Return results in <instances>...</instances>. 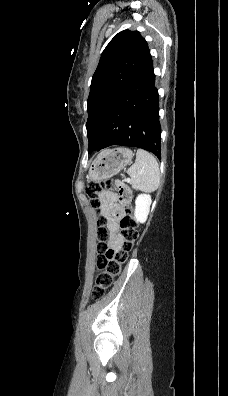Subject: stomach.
I'll return each mask as SVG.
<instances>
[{
	"label": "stomach",
	"mask_w": 228,
	"mask_h": 396,
	"mask_svg": "<svg viewBox=\"0 0 228 396\" xmlns=\"http://www.w3.org/2000/svg\"><path fill=\"white\" fill-rule=\"evenodd\" d=\"M133 156V152L128 148H115L102 152L90 167V179L100 181L116 175L132 163Z\"/></svg>",
	"instance_id": "0dacf381"
}]
</instances>
